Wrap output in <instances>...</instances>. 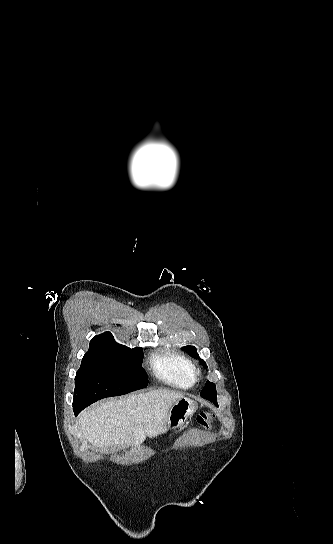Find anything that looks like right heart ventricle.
I'll use <instances>...</instances> for the list:
<instances>
[{"mask_svg": "<svg viewBox=\"0 0 333 544\" xmlns=\"http://www.w3.org/2000/svg\"><path fill=\"white\" fill-rule=\"evenodd\" d=\"M150 367L156 378L169 386L187 389L194 383L192 362L175 350H164L151 356Z\"/></svg>", "mask_w": 333, "mask_h": 544, "instance_id": "1", "label": "right heart ventricle"}]
</instances>
